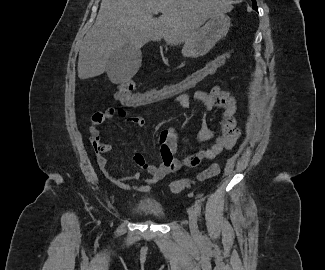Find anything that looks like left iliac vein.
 <instances>
[{"mask_svg": "<svg viewBox=\"0 0 325 270\" xmlns=\"http://www.w3.org/2000/svg\"><path fill=\"white\" fill-rule=\"evenodd\" d=\"M189 215V227L192 232V234L197 235L199 233L198 231V225H197V213L196 210L191 207L188 211Z\"/></svg>", "mask_w": 325, "mask_h": 270, "instance_id": "left-iliac-vein-1", "label": "left iliac vein"}]
</instances>
